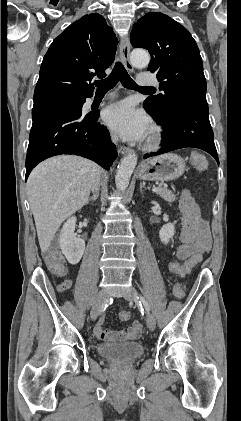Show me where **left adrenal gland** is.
Masks as SVG:
<instances>
[{
    "instance_id": "left-adrenal-gland-1",
    "label": "left adrenal gland",
    "mask_w": 241,
    "mask_h": 421,
    "mask_svg": "<svg viewBox=\"0 0 241 421\" xmlns=\"http://www.w3.org/2000/svg\"><path fill=\"white\" fill-rule=\"evenodd\" d=\"M143 188H145V183H140V192H143Z\"/></svg>"
}]
</instances>
